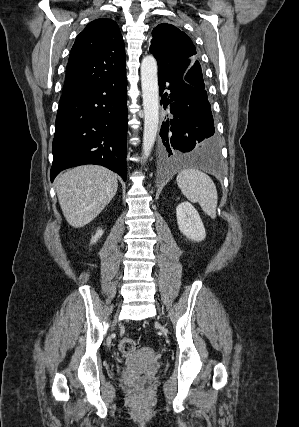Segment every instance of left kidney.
Returning <instances> with one entry per match:
<instances>
[{"instance_id":"obj_1","label":"left kidney","mask_w":299,"mask_h":427,"mask_svg":"<svg viewBox=\"0 0 299 427\" xmlns=\"http://www.w3.org/2000/svg\"><path fill=\"white\" fill-rule=\"evenodd\" d=\"M176 216L179 230L188 239L200 242L205 239L206 232L202 220L189 202H182L176 208Z\"/></svg>"}]
</instances>
